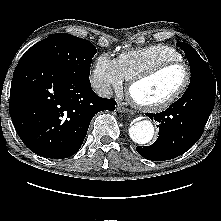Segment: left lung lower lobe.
<instances>
[{
	"label": "left lung lower lobe",
	"mask_w": 221,
	"mask_h": 221,
	"mask_svg": "<svg viewBox=\"0 0 221 221\" xmlns=\"http://www.w3.org/2000/svg\"><path fill=\"white\" fill-rule=\"evenodd\" d=\"M218 89L220 94V80L209 79L189 87L165 111L147 114L149 118L159 122V137L150 146H138L137 152L148 160L163 161L176 158L189 150L203 133L214 108Z\"/></svg>",
	"instance_id": "left-lung-lower-lobe-1"
}]
</instances>
